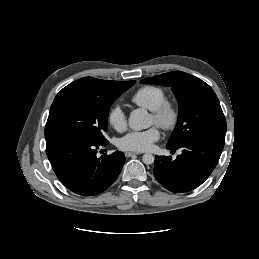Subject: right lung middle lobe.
<instances>
[{
	"instance_id": "dd1d6c3e",
	"label": "right lung middle lobe",
	"mask_w": 259,
	"mask_h": 259,
	"mask_svg": "<svg viewBox=\"0 0 259 259\" xmlns=\"http://www.w3.org/2000/svg\"><path fill=\"white\" fill-rule=\"evenodd\" d=\"M135 81L122 82L106 95H97L78 87L66 86L55 97L45 126L47 141L84 139L99 143L108 142V112L112 102Z\"/></svg>"
}]
</instances>
